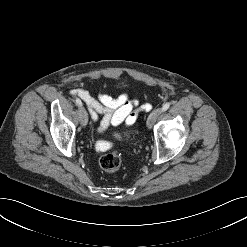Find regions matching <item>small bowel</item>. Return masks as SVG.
I'll return each instance as SVG.
<instances>
[{"label":"small bowel","instance_id":"1","mask_svg":"<svg viewBox=\"0 0 247 247\" xmlns=\"http://www.w3.org/2000/svg\"><path fill=\"white\" fill-rule=\"evenodd\" d=\"M70 94L78 96L86 103L93 120H97L98 115L102 116L99 127L100 132L105 131L110 126H116L121 123L132 126L136 121L137 113L134 108L138 107L140 103L127 93L112 97L105 92H99L97 98H94L87 90L74 88L70 91ZM148 108V106H145V109ZM97 146L105 147L102 142H98Z\"/></svg>","mask_w":247,"mask_h":247}]
</instances>
